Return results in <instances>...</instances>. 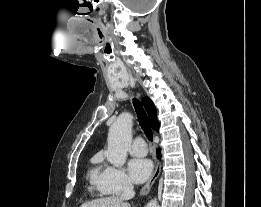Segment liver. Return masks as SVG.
Instances as JSON below:
<instances>
[{"instance_id":"liver-1","label":"liver","mask_w":261,"mask_h":207,"mask_svg":"<svg viewBox=\"0 0 261 207\" xmlns=\"http://www.w3.org/2000/svg\"><path fill=\"white\" fill-rule=\"evenodd\" d=\"M80 207H131L129 203L124 202L120 197L109 196L95 199L82 204Z\"/></svg>"}]
</instances>
